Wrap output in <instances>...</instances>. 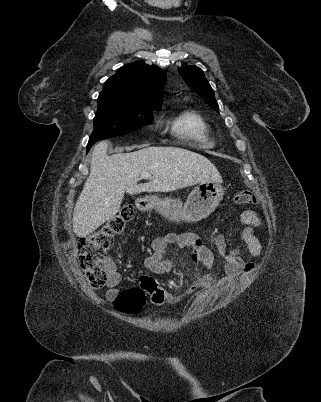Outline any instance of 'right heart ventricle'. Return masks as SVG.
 Masks as SVG:
<instances>
[{
  "mask_svg": "<svg viewBox=\"0 0 321 402\" xmlns=\"http://www.w3.org/2000/svg\"><path fill=\"white\" fill-rule=\"evenodd\" d=\"M171 132L179 139L193 142L202 147H213L211 128L203 115L188 108L179 112L169 121Z\"/></svg>",
  "mask_w": 321,
  "mask_h": 402,
  "instance_id": "right-heart-ventricle-1",
  "label": "right heart ventricle"
}]
</instances>
